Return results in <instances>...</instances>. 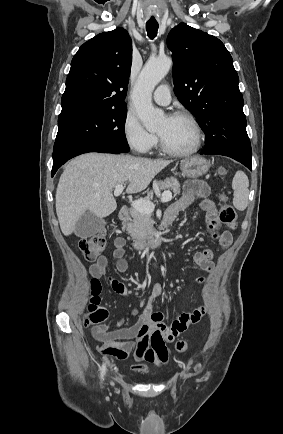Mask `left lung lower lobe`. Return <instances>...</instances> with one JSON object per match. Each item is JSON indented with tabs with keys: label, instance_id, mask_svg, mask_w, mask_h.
Wrapping results in <instances>:
<instances>
[{
	"label": "left lung lower lobe",
	"instance_id": "1",
	"mask_svg": "<svg viewBox=\"0 0 283 434\" xmlns=\"http://www.w3.org/2000/svg\"><path fill=\"white\" fill-rule=\"evenodd\" d=\"M201 154H209L206 151H202ZM239 162H241L243 165H245L247 168H249L250 170L252 169V162H251V158H245V159H240Z\"/></svg>",
	"mask_w": 283,
	"mask_h": 434
}]
</instances>
